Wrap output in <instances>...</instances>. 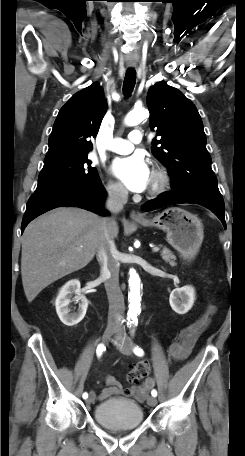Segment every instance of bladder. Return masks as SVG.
I'll list each match as a JSON object with an SVG mask.
<instances>
[{
	"label": "bladder",
	"instance_id": "31cf9c89",
	"mask_svg": "<svg viewBox=\"0 0 245 456\" xmlns=\"http://www.w3.org/2000/svg\"><path fill=\"white\" fill-rule=\"evenodd\" d=\"M95 421L112 430H131L143 422V411L139 404L122 398H110L100 402L94 409Z\"/></svg>",
	"mask_w": 245,
	"mask_h": 456
}]
</instances>
